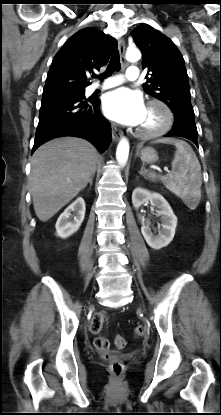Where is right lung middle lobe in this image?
I'll list each match as a JSON object with an SVG mask.
<instances>
[{
    "label": "right lung middle lobe",
    "instance_id": "dd1d6c3e",
    "mask_svg": "<svg viewBox=\"0 0 221 415\" xmlns=\"http://www.w3.org/2000/svg\"><path fill=\"white\" fill-rule=\"evenodd\" d=\"M58 93L84 97L85 89L68 90V91H63V92H58Z\"/></svg>",
    "mask_w": 221,
    "mask_h": 415
}]
</instances>
